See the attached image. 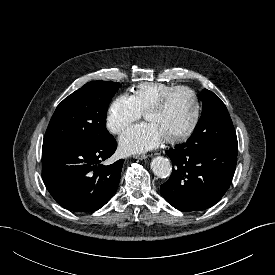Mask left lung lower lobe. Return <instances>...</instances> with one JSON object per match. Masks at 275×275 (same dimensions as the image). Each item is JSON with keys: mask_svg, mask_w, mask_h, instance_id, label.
<instances>
[{"mask_svg": "<svg viewBox=\"0 0 275 275\" xmlns=\"http://www.w3.org/2000/svg\"><path fill=\"white\" fill-rule=\"evenodd\" d=\"M238 148L176 145L166 154L172 175L161 185L164 199L184 212L203 211L215 205L229 188Z\"/></svg>", "mask_w": 275, "mask_h": 275, "instance_id": "1", "label": "left lung lower lobe"}]
</instances>
